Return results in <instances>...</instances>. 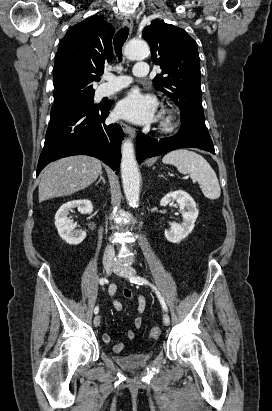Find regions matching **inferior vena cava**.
<instances>
[{
    "label": "inferior vena cava",
    "instance_id": "obj_1",
    "mask_svg": "<svg viewBox=\"0 0 272 411\" xmlns=\"http://www.w3.org/2000/svg\"><path fill=\"white\" fill-rule=\"evenodd\" d=\"M115 257V251L113 246L108 245L104 251L103 261L105 262H113Z\"/></svg>",
    "mask_w": 272,
    "mask_h": 411
}]
</instances>
